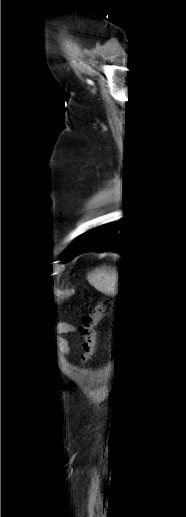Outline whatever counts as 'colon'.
<instances>
[{
  "mask_svg": "<svg viewBox=\"0 0 186 517\" xmlns=\"http://www.w3.org/2000/svg\"><path fill=\"white\" fill-rule=\"evenodd\" d=\"M105 306L98 303L94 306L92 311L83 315L79 331L83 336L81 363L86 364L90 361L95 353L97 327L105 316Z\"/></svg>",
  "mask_w": 186,
  "mask_h": 517,
  "instance_id": "5ec220e1",
  "label": "colon"
}]
</instances>
